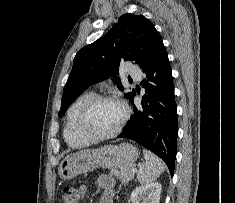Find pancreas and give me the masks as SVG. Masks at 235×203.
I'll use <instances>...</instances> for the list:
<instances>
[{
  "label": "pancreas",
  "mask_w": 235,
  "mask_h": 203,
  "mask_svg": "<svg viewBox=\"0 0 235 203\" xmlns=\"http://www.w3.org/2000/svg\"><path fill=\"white\" fill-rule=\"evenodd\" d=\"M134 165H124L112 168L110 170L111 175L117 176L121 180L122 183L129 182L133 177L135 172H133Z\"/></svg>",
  "instance_id": "obj_1"
}]
</instances>
